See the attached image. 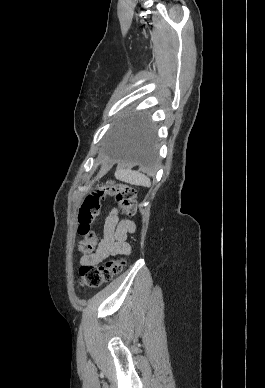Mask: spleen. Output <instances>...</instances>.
Returning a JSON list of instances; mask_svg holds the SVG:
<instances>
[{"mask_svg": "<svg viewBox=\"0 0 265 388\" xmlns=\"http://www.w3.org/2000/svg\"><path fill=\"white\" fill-rule=\"evenodd\" d=\"M116 178L122 182H127V184H132V186H147V188L151 186L149 178L143 174H138V172H132V170H119L116 172Z\"/></svg>", "mask_w": 265, "mask_h": 388, "instance_id": "3e777b00", "label": "spleen"}]
</instances>
